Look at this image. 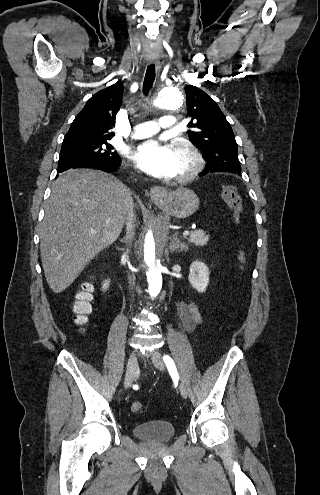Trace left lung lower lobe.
<instances>
[{"label":"left lung lower lobe","mask_w":320,"mask_h":495,"mask_svg":"<svg viewBox=\"0 0 320 495\" xmlns=\"http://www.w3.org/2000/svg\"><path fill=\"white\" fill-rule=\"evenodd\" d=\"M217 171L226 172V171H222V170H212V171H210V170H207V169H206V170H204V171H202V172L200 173V176H204V175H206V174H207V173H209V172H217Z\"/></svg>","instance_id":"0a47b994"}]
</instances>
